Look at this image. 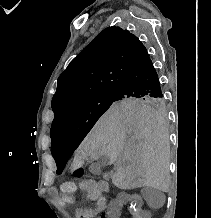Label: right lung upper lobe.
I'll return each instance as SVG.
<instances>
[{"label": "right lung upper lobe", "instance_id": "obj_1", "mask_svg": "<svg viewBox=\"0 0 211 218\" xmlns=\"http://www.w3.org/2000/svg\"><path fill=\"white\" fill-rule=\"evenodd\" d=\"M148 57L144 45L129 31L104 29L59 76L51 103L54 120L91 98L116 92Z\"/></svg>", "mask_w": 211, "mask_h": 218}]
</instances>
